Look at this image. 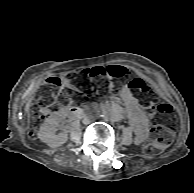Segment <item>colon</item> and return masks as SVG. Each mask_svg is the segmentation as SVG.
Returning <instances> with one entry per match:
<instances>
[{
    "label": "colon",
    "instance_id": "5ec220e1",
    "mask_svg": "<svg viewBox=\"0 0 194 193\" xmlns=\"http://www.w3.org/2000/svg\"><path fill=\"white\" fill-rule=\"evenodd\" d=\"M129 70L120 65L96 66L85 69L83 76L102 84L105 79L122 80ZM77 77L68 74L64 77H49L43 83L37 98L36 106L30 116L28 131L31 137H35L44 119L55 112L61 105L69 102L73 95L80 92L75 89ZM68 88L69 90H65ZM129 88L135 93H142L141 105L148 114L162 120V123L154 124L152 128V140L146 147L149 155L158 154L172 144L175 137V127L172 120L173 110L170 105L160 103L155 92L142 78L136 77L130 80ZM88 94V92H87Z\"/></svg>",
    "mask_w": 194,
    "mask_h": 193
}]
</instances>
